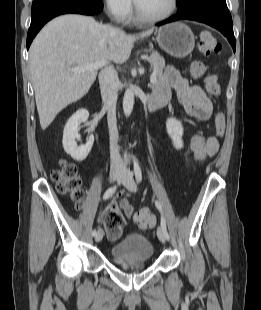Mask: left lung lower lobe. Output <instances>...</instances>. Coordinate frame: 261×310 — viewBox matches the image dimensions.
<instances>
[{
	"label": "left lung lower lobe",
	"mask_w": 261,
	"mask_h": 310,
	"mask_svg": "<svg viewBox=\"0 0 261 310\" xmlns=\"http://www.w3.org/2000/svg\"><path fill=\"white\" fill-rule=\"evenodd\" d=\"M180 19L194 20L218 29L230 42L234 52L236 41L233 33L232 18L226 5V0H201L193 9L177 13L157 25L174 22Z\"/></svg>",
	"instance_id": "left-lung-lower-lobe-1"
}]
</instances>
